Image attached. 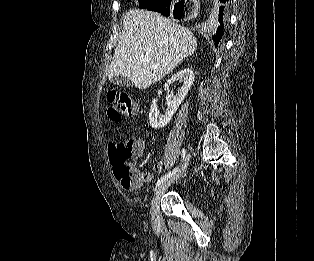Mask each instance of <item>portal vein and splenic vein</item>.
I'll return each mask as SVG.
<instances>
[{
  "instance_id": "1",
  "label": "portal vein and splenic vein",
  "mask_w": 314,
  "mask_h": 261,
  "mask_svg": "<svg viewBox=\"0 0 314 261\" xmlns=\"http://www.w3.org/2000/svg\"><path fill=\"white\" fill-rule=\"evenodd\" d=\"M141 60L144 61V62H147V61H148V58H146V57H141ZM152 68L156 69V68H158V65H157V64H153V65H152Z\"/></svg>"
}]
</instances>
